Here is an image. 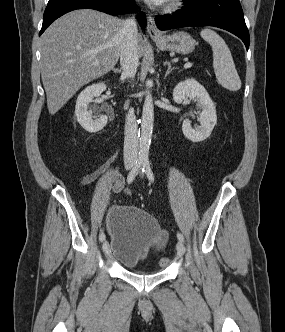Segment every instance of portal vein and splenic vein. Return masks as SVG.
I'll use <instances>...</instances> for the list:
<instances>
[{
  "label": "portal vein and splenic vein",
  "instance_id": "1",
  "mask_svg": "<svg viewBox=\"0 0 285 332\" xmlns=\"http://www.w3.org/2000/svg\"><path fill=\"white\" fill-rule=\"evenodd\" d=\"M95 65H98V64H95ZM191 66H192V63L187 62V63L184 65V68H190Z\"/></svg>",
  "mask_w": 285,
  "mask_h": 332
}]
</instances>
